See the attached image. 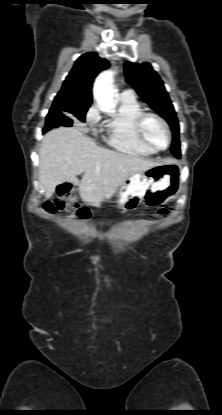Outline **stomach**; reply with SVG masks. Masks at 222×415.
Instances as JSON below:
<instances>
[{
    "instance_id": "stomach-1",
    "label": "stomach",
    "mask_w": 222,
    "mask_h": 415,
    "mask_svg": "<svg viewBox=\"0 0 222 415\" xmlns=\"http://www.w3.org/2000/svg\"><path fill=\"white\" fill-rule=\"evenodd\" d=\"M182 167L165 163L145 172L128 177L116 190L118 208L135 210L142 202L149 206L166 204L173 199L181 186Z\"/></svg>"
}]
</instances>
